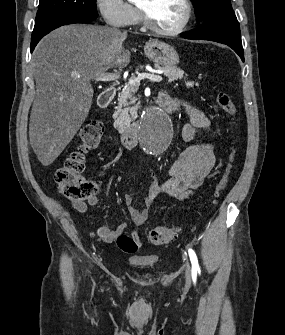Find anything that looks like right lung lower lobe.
Wrapping results in <instances>:
<instances>
[{"label": "right lung lower lobe", "instance_id": "98d812e1", "mask_svg": "<svg viewBox=\"0 0 285 335\" xmlns=\"http://www.w3.org/2000/svg\"><path fill=\"white\" fill-rule=\"evenodd\" d=\"M95 18L82 14H59L50 17L42 22L35 23L31 37V52H33L37 43L50 31L68 24L73 23H89Z\"/></svg>", "mask_w": 285, "mask_h": 335}]
</instances>
